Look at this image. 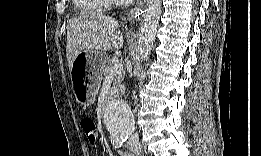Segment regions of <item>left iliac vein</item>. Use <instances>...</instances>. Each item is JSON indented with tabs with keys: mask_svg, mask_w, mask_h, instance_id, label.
I'll return each mask as SVG.
<instances>
[{
	"mask_svg": "<svg viewBox=\"0 0 261 156\" xmlns=\"http://www.w3.org/2000/svg\"><path fill=\"white\" fill-rule=\"evenodd\" d=\"M129 148L132 152H134L137 155L141 153L140 146L138 144L130 143Z\"/></svg>",
	"mask_w": 261,
	"mask_h": 156,
	"instance_id": "left-iliac-vein-1",
	"label": "left iliac vein"
}]
</instances>
